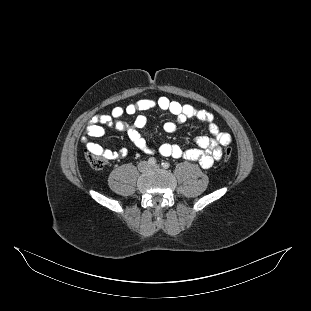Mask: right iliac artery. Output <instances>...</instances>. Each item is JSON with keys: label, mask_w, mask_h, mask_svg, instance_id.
<instances>
[{"label": "right iliac artery", "mask_w": 311, "mask_h": 311, "mask_svg": "<svg viewBox=\"0 0 311 311\" xmlns=\"http://www.w3.org/2000/svg\"><path fill=\"white\" fill-rule=\"evenodd\" d=\"M148 164H150V165H155V164H156V159L153 158V157L149 158V159H148Z\"/></svg>", "instance_id": "1"}]
</instances>
